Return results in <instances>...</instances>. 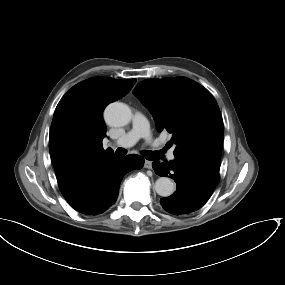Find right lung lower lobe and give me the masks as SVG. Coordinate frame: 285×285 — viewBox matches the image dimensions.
<instances>
[{"mask_svg":"<svg viewBox=\"0 0 285 285\" xmlns=\"http://www.w3.org/2000/svg\"><path fill=\"white\" fill-rule=\"evenodd\" d=\"M143 165L144 159L139 155L112 159L88 174L64 198L81 214H101L117 200L124 174Z\"/></svg>","mask_w":285,"mask_h":285,"instance_id":"obj_1","label":"right lung lower lobe"}]
</instances>
